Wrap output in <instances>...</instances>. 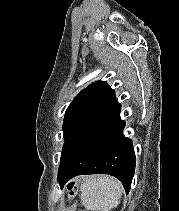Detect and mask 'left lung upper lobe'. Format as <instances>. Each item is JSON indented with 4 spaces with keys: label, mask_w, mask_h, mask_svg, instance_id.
Listing matches in <instances>:
<instances>
[{
    "label": "left lung upper lobe",
    "mask_w": 179,
    "mask_h": 211,
    "mask_svg": "<svg viewBox=\"0 0 179 211\" xmlns=\"http://www.w3.org/2000/svg\"><path fill=\"white\" fill-rule=\"evenodd\" d=\"M115 99L114 91L105 81L92 83L74 98L65 113V143L58 173L69 164L92 125Z\"/></svg>",
    "instance_id": "5c2ea615"
}]
</instances>
